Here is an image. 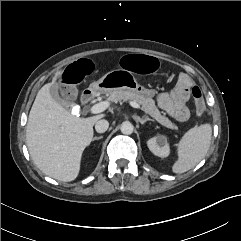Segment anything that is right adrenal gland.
Listing matches in <instances>:
<instances>
[{
    "instance_id": "obj_1",
    "label": "right adrenal gland",
    "mask_w": 241,
    "mask_h": 241,
    "mask_svg": "<svg viewBox=\"0 0 241 241\" xmlns=\"http://www.w3.org/2000/svg\"><path fill=\"white\" fill-rule=\"evenodd\" d=\"M103 137L100 136V137H94L93 140H99V139H102Z\"/></svg>"
}]
</instances>
